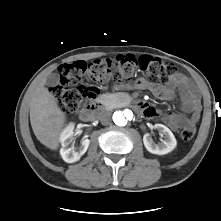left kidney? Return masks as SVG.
Wrapping results in <instances>:
<instances>
[{"label": "left kidney", "instance_id": "obj_1", "mask_svg": "<svg viewBox=\"0 0 221 221\" xmlns=\"http://www.w3.org/2000/svg\"><path fill=\"white\" fill-rule=\"evenodd\" d=\"M154 128L164 134L165 140L159 144H156L153 142L152 137L147 133L143 136V143L145 148L150 153L156 155H164L174 150L177 145V141L171 130L163 124H155Z\"/></svg>", "mask_w": 221, "mask_h": 221}]
</instances>
